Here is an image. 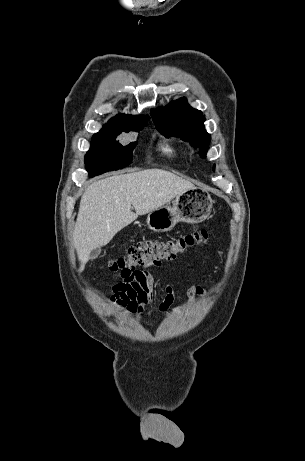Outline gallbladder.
I'll use <instances>...</instances> for the list:
<instances>
[{
  "mask_svg": "<svg viewBox=\"0 0 305 461\" xmlns=\"http://www.w3.org/2000/svg\"><path fill=\"white\" fill-rule=\"evenodd\" d=\"M101 253V248H96L90 253V259H96Z\"/></svg>",
  "mask_w": 305,
  "mask_h": 461,
  "instance_id": "1",
  "label": "gallbladder"
}]
</instances>
